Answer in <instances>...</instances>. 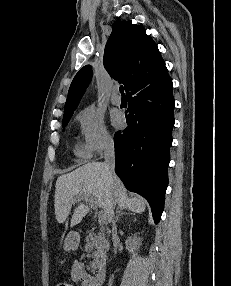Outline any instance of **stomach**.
<instances>
[{
    "label": "stomach",
    "instance_id": "1",
    "mask_svg": "<svg viewBox=\"0 0 231 286\" xmlns=\"http://www.w3.org/2000/svg\"><path fill=\"white\" fill-rule=\"evenodd\" d=\"M79 242H80V236L77 232L75 231H71L65 241H64V245L63 248L65 251H70V250H75L78 248L79 246Z\"/></svg>",
    "mask_w": 231,
    "mask_h": 286
}]
</instances>
